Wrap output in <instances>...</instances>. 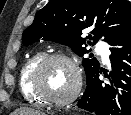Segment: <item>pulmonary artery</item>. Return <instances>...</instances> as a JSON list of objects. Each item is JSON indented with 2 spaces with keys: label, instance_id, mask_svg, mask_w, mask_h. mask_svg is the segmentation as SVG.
<instances>
[{
  "label": "pulmonary artery",
  "instance_id": "1",
  "mask_svg": "<svg viewBox=\"0 0 131 115\" xmlns=\"http://www.w3.org/2000/svg\"><path fill=\"white\" fill-rule=\"evenodd\" d=\"M97 51L99 52V54L102 57V60L104 63H108L109 62V50L106 44L99 42L96 46Z\"/></svg>",
  "mask_w": 131,
  "mask_h": 115
}]
</instances>
